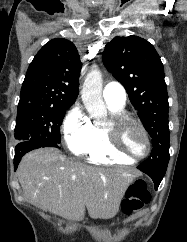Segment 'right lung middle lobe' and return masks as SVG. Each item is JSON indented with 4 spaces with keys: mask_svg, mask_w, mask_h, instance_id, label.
<instances>
[{
    "mask_svg": "<svg viewBox=\"0 0 187 242\" xmlns=\"http://www.w3.org/2000/svg\"><path fill=\"white\" fill-rule=\"evenodd\" d=\"M67 109L26 107L18 108L15 139L59 145L60 126Z\"/></svg>",
    "mask_w": 187,
    "mask_h": 242,
    "instance_id": "right-lung-middle-lobe-1",
    "label": "right lung middle lobe"
}]
</instances>
